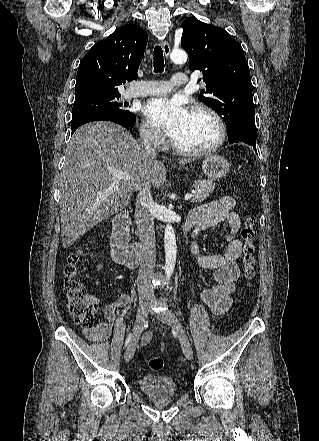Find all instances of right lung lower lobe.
Returning a JSON list of instances; mask_svg holds the SVG:
<instances>
[{
	"label": "right lung lower lobe",
	"mask_w": 319,
	"mask_h": 441,
	"mask_svg": "<svg viewBox=\"0 0 319 441\" xmlns=\"http://www.w3.org/2000/svg\"><path fill=\"white\" fill-rule=\"evenodd\" d=\"M104 120L115 122L117 124L122 125L125 128H132V126L126 124L124 121H122L121 119H119L113 115H92V116L80 118V119L72 122L71 123L72 134L79 126H81L83 124L93 122V121H104Z\"/></svg>",
	"instance_id": "1"
}]
</instances>
